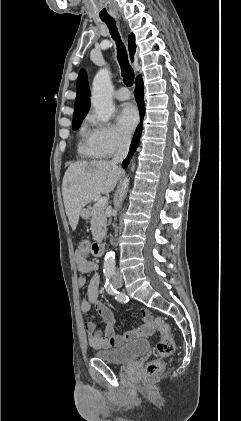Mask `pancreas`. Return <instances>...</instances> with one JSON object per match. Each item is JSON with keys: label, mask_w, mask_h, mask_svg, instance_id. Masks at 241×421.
Returning <instances> with one entry per match:
<instances>
[{"label": "pancreas", "mask_w": 241, "mask_h": 421, "mask_svg": "<svg viewBox=\"0 0 241 421\" xmlns=\"http://www.w3.org/2000/svg\"><path fill=\"white\" fill-rule=\"evenodd\" d=\"M91 232L94 239H101L106 234L107 218L104 210L94 205L90 212Z\"/></svg>", "instance_id": "pancreas-1"}]
</instances>
